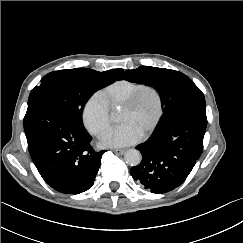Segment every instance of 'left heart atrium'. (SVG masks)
<instances>
[{
    "label": "left heart atrium",
    "instance_id": "obj_1",
    "mask_svg": "<svg viewBox=\"0 0 243 243\" xmlns=\"http://www.w3.org/2000/svg\"><path fill=\"white\" fill-rule=\"evenodd\" d=\"M143 133L130 123H123L107 131L101 138L103 147H124L137 143Z\"/></svg>",
    "mask_w": 243,
    "mask_h": 243
}]
</instances>
